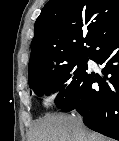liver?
<instances>
[{"mask_svg": "<svg viewBox=\"0 0 119 141\" xmlns=\"http://www.w3.org/2000/svg\"><path fill=\"white\" fill-rule=\"evenodd\" d=\"M29 141H110L89 131L74 115H47L33 127Z\"/></svg>", "mask_w": 119, "mask_h": 141, "instance_id": "obj_1", "label": "liver"}]
</instances>
